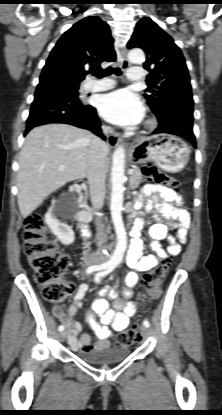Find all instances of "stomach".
<instances>
[{
    "mask_svg": "<svg viewBox=\"0 0 222 415\" xmlns=\"http://www.w3.org/2000/svg\"><path fill=\"white\" fill-rule=\"evenodd\" d=\"M190 148L174 135L159 134L137 141L130 157L136 164L154 162L168 172H179L187 165Z\"/></svg>",
    "mask_w": 222,
    "mask_h": 415,
    "instance_id": "stomach-1",
    "label": "stomach"
}]
</instances>
